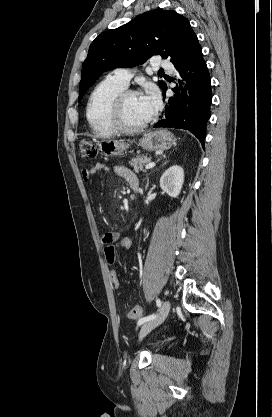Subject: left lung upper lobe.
Listing matches in <instances>:
<instances>
[{
	"label": "left lung upper lobe",
	"mask_w": 272,
	"mask_h": 417,
	"mask_svg": "<svg viewBox=\"0 0 272 417\" xmlns=\"http://www.w3.org/2000/svg\"><path fill=\"white\" fill-rule=\"evenodd\" d=\"M199 46L185 17L173 10L145 12L123 26L100 34L92 42L82 66L78 101L105 71L136 66L153 55L170 57L176 64ZM159 85L166 84L161 81Z\"/></svg>",
	"instance_id": "left-lung-upper-lobe-1"
}]
</instances>
